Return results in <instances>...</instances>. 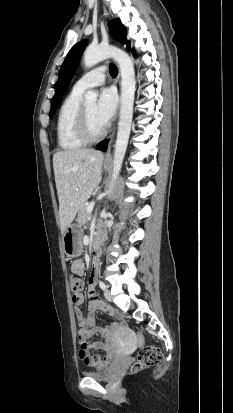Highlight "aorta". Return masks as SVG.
<instances>
[{"mask_svg":"<svg viewBox=\"0 0 233 413\" xmlns=\"http://www.w3.org/2000/svg\"><path fill=\"white\" fill-rule=\"evenodd\" d=\"M108 58H112L118 63L121 73L120 116L114 149L112 177L107 192L111 193L120 173L129 141L136 81L132 59L121 49L109 45L89 46L83 55L84 65L87 68L93 67L100 61ZM97 96L98 94L95 91H87L84 95L85 102L94 105L97 101Z\"/></svg>","mask_w":233,"mask_h":413,"instance_id":"1","label":"aorta"}]
</instances>
